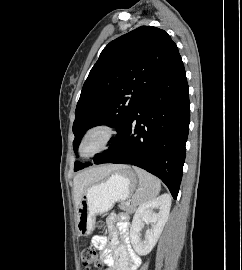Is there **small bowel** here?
Returning <instances> with one entry per match:
<instances>
[{
    "instance_id": "obj_1",
    "label": "small bowel",
    "mask_w": 242,
    "mask_h": 270,
    "mask_svg": "<svg viewBox=\"0 0 242 270\" xmlns=\"http://www.w3.org/2000/svg\"><path fill=\"white\" fill-rule=\"evenodd\" d=\"M108 237L94 236L92 245L101 251L106 270H137L141 260L129 243V216L111 213L107 216Z\"/></svg>"
}]
</instances>
